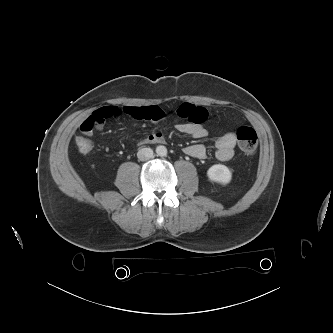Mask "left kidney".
Segmentation results:
<instances>
[{
	"label": "left kidney",
	"instance_id": "5707ae66",
	"mask_svg": "<svg viewBox=\"0 0 333 333\" xmlns=\"http://www.w3.org/2000/svg\"><path fill=\"white\" fill-rule=\"evenodd\" d=\"M207 176L211 181L227 184L231 181L232 173L225 165L215 164L208 169Z\"/></svg>",
	"mask_w": 333,
	"mask_h": 333
}]
</instances>
